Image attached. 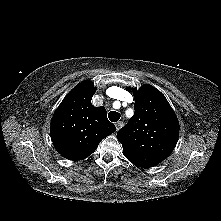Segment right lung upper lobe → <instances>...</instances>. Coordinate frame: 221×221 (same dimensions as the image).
Masks as SVG:
<instances>
[{"mask_svg": "<svg viewBox=\"0 0 221 221\" xmlns=\"http://www.w3.org/2000/svg\"><path fill=\"white\" fill-rule=\"evenodd\" d=\"M94 84L83 81L73 88L56 109L51 121V139L55 149L68 160L91 155L103 138L116 131L103 106L94 107Z\"/></svg>", "mask_w": 221, "mask_h": 221, "instance_id": "1", "label": "right lung upper lobe"}]
</instances>
